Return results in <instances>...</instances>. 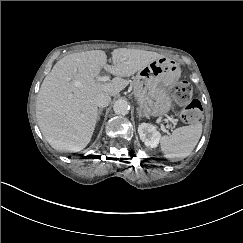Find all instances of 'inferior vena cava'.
<instances>
[{
    "mask_svg": "<svg viewBox=\"0 0 243 243\" xmlns=\"http://www.w3.org/2000/svg\"><path fill=\"white\" fill-rule=\"evenodd\" d=\"M111 97L107 93H99L96 95L94 102L98 107H106L109 105Z\"/></svg>",
    "mask_w": 243,
    "mask_h": 243,
    "instance_id": "obj_1",
    "label": "inferior vena cava"
}]
</instances>
